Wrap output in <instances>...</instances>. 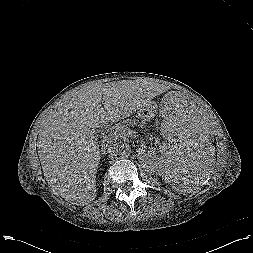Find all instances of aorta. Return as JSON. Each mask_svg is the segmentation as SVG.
Segmentation results:
<instances>
[{
  "mask_svg": "<svg viewBox=\"0 0 253 253\" xmlns=\"http://www.w3.org/2000/svg\"><path fill=\"white\" fill-rule=\"evenodd\" d=\"M131 154V148L127 144H123L119 147V155L122 157H128Z\"/></svg>",
  "mask_w": 253,
  "mask_h": 253,
  "instance_id": "1",
  "label": "aorta"
}]
</instances>
